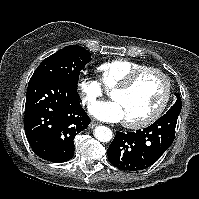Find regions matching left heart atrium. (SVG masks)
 Instances as JSON below:
<instances>
[{"label": "left heart atrium", "mask_w": 199, "mask_h": 199, "mask_svg": "<svg viewBox=\"0 0 199 199\" xmlns=\"http://www.w3.org/2000/svg\"><path fill=\"white\" fill-rule=\"evenodd\" d=\"M90 113L97 119L106 122L124 120V111L118 101L98 102L90 107Z\"/></svg>", "instance_id": "left-heart-atrium-1"}]
</instances>
